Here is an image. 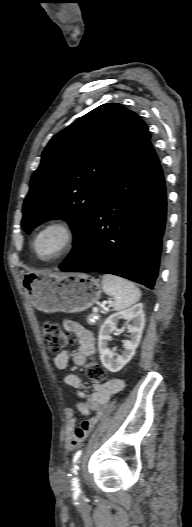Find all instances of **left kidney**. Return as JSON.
I'll use <instances>...</instances> for the list:
<instances>
[{"label": "left kidney", "mask_w": 192, "mask_h": 527, "mask_svg": "<svg viewBox=\"0 0 192 527\" xmlns=\"http://www.w3.org/2000/svg\"><path fill=\"white\" fill-rule=\"evenodd\" d=\"M122 319L132 321L127 329L131 333L130 340L124 342V352L121 356L114 358L115 354L108 348V341L111 340L110 334L117 328V324ZM145 325V314L141 303L124 311L110 315L101 325L98 336V349L103 366L110 372L120 371L135 355L142 332Z\"/></svg>", "instance_id": "left-kidney-1"}]
</instances>
